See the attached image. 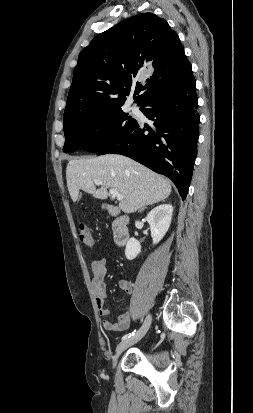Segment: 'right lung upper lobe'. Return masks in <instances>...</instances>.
Returning a JSON list of instances; mask_svg holds the SVG:
<instances>
[{"instance_id":"cb5924a9","label":"right lung upper lobe","mask_w":253,"mask_h":413,"mask_svg":"<svg viewBox=\"0 0 253 413\" xmlns=\"http://www.w3.org/2000/svg\"><path fill=\"white\" fill-rule=\"evenodd\" d=\"M191 72L180 39L166 20L152 13L128 18L97 35L79 54L64 123L122 107L133 88L140 105L181 84ZM142 78L147 79L139 82Z\"/></svg>"}]
</instances>
